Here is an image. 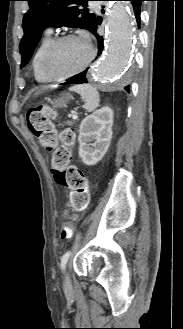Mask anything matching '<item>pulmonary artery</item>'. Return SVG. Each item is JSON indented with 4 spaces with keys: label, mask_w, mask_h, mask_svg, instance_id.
Here are the masks:
<instances>
[{
    "label": "pulmonary artery",
    "mask_w": 183,
    "mask_h": 329,
    "mask_svg": "<svg viewBox=\"0 0 183 329\" xmlns=\"http://www.w3.org/2000/svg\"><path fill=\"white\" fill-rule=\"evenodd\" d=\"M91 7L95 10V11H99L100 6L97 2H92L91 3ZM47 32H51V29H47Z\"/></svg>",
    "instance_id": "pulmonary-artery-1"
}]
</instances>
